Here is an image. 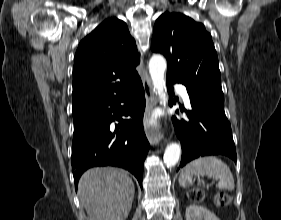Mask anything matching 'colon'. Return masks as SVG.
I'll use <instances>...</instances> for the list:
<instances>
[{"label": "colon", "instance_id": "colon-1", "mask_svg": "<svg viewBox=\"0 0 281 220\" xmlns=\"http://www.w3.org/2000/svg\"><path fill=\"white\" fill-rule=\"evenodd\" d=\"M189 198L192 201H202L205 198V193L201 190L194 189L189 192L188 194ZM231 201V197L225 193H219L215 196L214 202L217 206H227Z\"/></svg>", "mask_w": 281, "mask_h": 220}]
</instances>
